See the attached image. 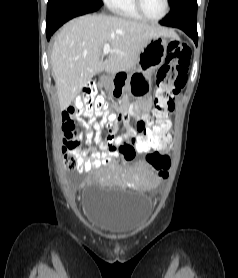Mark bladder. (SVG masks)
<instances>
[{"label":"bladder","instance_id":"obj_1","mask_svg":"<svg viewBox=\"0 0 238 278\" xmlns=\"http://www.w3.org/2000/svg\"><path fill=\"white\" fill-rule=\"evenodd\" d=\"M84 212L95 230L114 237H126L140 231L152 213L148 196L129 189L87 186Z\"/></svg>","mask_w":238,"mask_h":278}]
</instances>
